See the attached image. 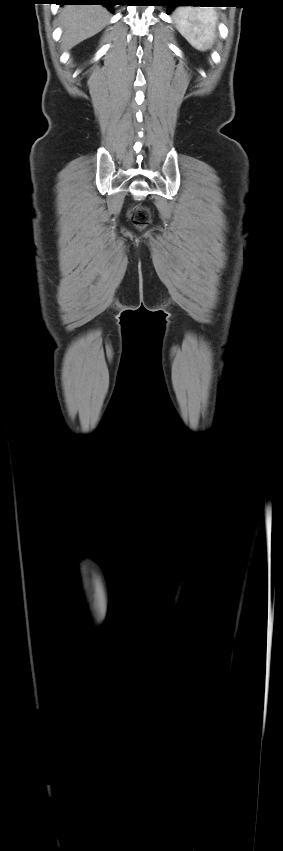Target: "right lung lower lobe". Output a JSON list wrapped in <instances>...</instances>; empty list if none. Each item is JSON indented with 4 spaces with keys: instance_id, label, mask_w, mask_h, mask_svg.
I'll list each match as a JSON object with an SVG mask.
<instances>
[{
    "instance_id": "right-lung-lower-lobe-1",
    "label": "right lung lower lobe",
    "mask_w": 283,
    "mask_h": 851,
    "mask_svg": "<svg viewBox=\"0 0 283 851\" xmlns=\"http://www.w3.org/2000/svg\"><path fill=\"white\" fill-rule=\"evenodd\" d=\"M60 5H104L109 11L113 12V6L118 0H55Z\"/></svg>"
}]
</instances>
